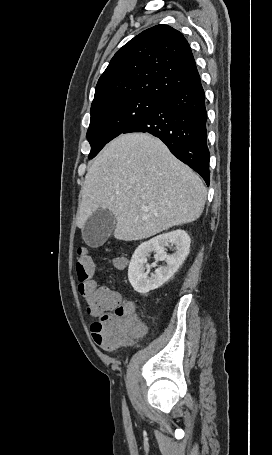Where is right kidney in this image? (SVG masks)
I'll return each mask as SVG.
<instances>
[{
  "instance_id": "right-kidney-1",
  "label": "right kidney",
  "mask_w": 272,
  "mask_h": 455,
  "mask_svg": "<svg viewBox=\"0 0 272 455\" xmlns=\"http://www.w3.org/2000/svg\"><path fill=\"white\" fill-rule=\"evenodd\" d=\"M169 244L175 246V252L171 255H168L165 249ZM190 244V236L181 229L161 234L140 244L132 255L128 268V279L134 290L146 294L167 282L188 256ZM151 252L156 253L155 262L149 265L147 257ZM163 260L166 261V266L157 268L154 274L148 277L150 268L156 267L157 262Z\"/></svg>"
}]
</instances>
